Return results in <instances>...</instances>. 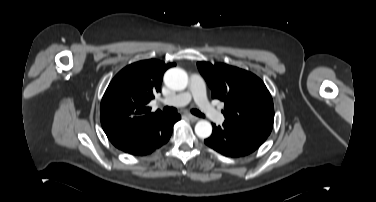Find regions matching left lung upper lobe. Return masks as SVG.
<instances>
[{
	"label": "left lung upper lobe",
	"mask_w": 376,
	"mask_h": 202,
	"mask_svg": "<svg viewBox=\"0 0 376 202\" xmlns=\"http://www.w3.org/2000/svg\"><path fill=\"white\" fill-rule=\"evenodd\" d=\"M197 66L212 90V97L224 102L225 121L267 135L271 133L272 97L256 75L222 63L198 62Z\"/></svg>",
	"instance_id": "1"
}]
</instances>
